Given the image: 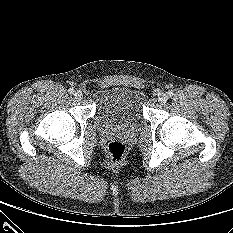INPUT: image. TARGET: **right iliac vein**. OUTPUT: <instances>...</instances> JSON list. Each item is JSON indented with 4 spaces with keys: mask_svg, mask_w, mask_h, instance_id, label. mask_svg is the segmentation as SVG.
Instances as JSON below:
<instances>
[{
    "mask_svg": "<svg viewBox=\"0 0 233 233\" xmlns=\"http://www.w3.org/2000/svg\"><path fill=\"white\" fill-rule=\"evenodd\" d=\"M74 96L77 100H81L83 98V93L81 91H76Z\"/></svg>",
    "mask_w": 233,
    "mask_h": 233,
    "instance_id": "right-iliac-vein-1",
    "label": "right iliac vein"
}]
</instances>
